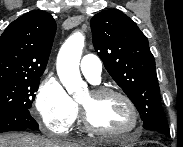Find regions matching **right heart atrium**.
I'll use <instances>...</instances> for the list:
<instances>
[{"label":"right heart atrium","mask_w":183,"mask_h":147,"mask_svg":"<svg viewBox=\"0 0 183 147\" xmlns=\"http://www.w3.org/2000/svg\"><path fill=\"white\" fill-rule=\"evenodd\" d=\"M35 106L42 126L52 133L64 134L78 115L76 102L53 76L45 77L36 93Z\"/></svg>","instance_id":"d8ad5b80"}]
</instances>
